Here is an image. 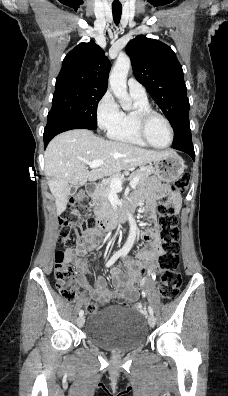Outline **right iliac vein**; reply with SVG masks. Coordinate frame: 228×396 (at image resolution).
Instances as JSON below:
<instances>
[{
	"label": "right iliac vein",
	"mask_w": 228,
	"mask_h": 396,
	"mask_svg": "<svg viewBox=\"0 0 228 396\" xmlns=\"http://www.w3.org/2000/svg\"><path fill=\"white\" fill-rule=\"evenodd\" d=\"M85 322V317L83 315L79 316L77 319V324L79 327H82L84 325Z\"/></svg>",
	"instance_id": "1"
}]
</instances>
